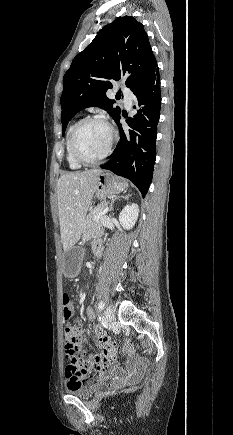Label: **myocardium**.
Masks as SVG:
<instances>
[{
  "mask_svg": "<svg viewBox=\"0 0 233 435\" xmlns=\"http://www.w3.org/2000/svg\"><path fill=\"white\" fill-rule=\"evenodd\" d=\"M90 122L103 123L108 127L109 132H110V139H109V143L107 145L105 152L100 157H98L97 159H94V160L86 159L81 154V152L78 148V145H77L78 132L80 131V129L83 125H85L86 123H90ZM115 140H116V133H115L113 127L111 126V124L104 117H102V116H88V117H85V118L79 120L75 124V126L72 130L71 137H70L71 152H72L74 159L78 163H80L81 165H84V166L97 165V164L101 163L103 160H105L110 155Z\"/></svg>",
  "mask_w": 233,
  "mask_h": 435,
  "instance_id": "obj_1",
  "label": "myocardium"
}]
</instances>
